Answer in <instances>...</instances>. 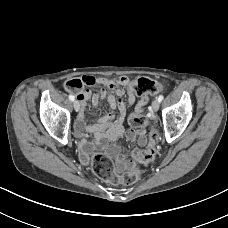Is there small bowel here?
Listing matches in <instances>:
<instances>
[{"label":"small bowel","instance_id":"1","mask_svg":"<svg viewBox=\"0 0 228 228\" xmlns=\"http://www.w3.org/2000/svg\"><path fill=\"white\" fill-rule=\"evenodd\" d=\"M82 81L87 86L99 85L104 88L94 91L93 94H91L89 90H83L77 94V99L81 106V111L75 121L76 135L80 138L79 144L84 152L89 151L91 145L83 138V131L87 130L94 133L96 137V146L106 148L108 154L115 158L117 167L122 169L127 165L125 156L121 153L120 148L117 145H108L107 143L125 135L127 140L131 142L137 140L141 146L146 144L145 129L126 130L124 120L126 117L127 105L124 101V96L127 95L129 104L135 103L134 113L143 112L144 107L147 104V98L143 97L136 102V92L131 85V81L127 77L103 79L85 76ZM90 96L94 107H97L99 100L106 99L112 110H119L118 117L116 118L113 113H109L95 123L87 125L85 122L84 108L86 101Z\"/></svg>","mask_w":228,"mask_h":228}]
</instances>
